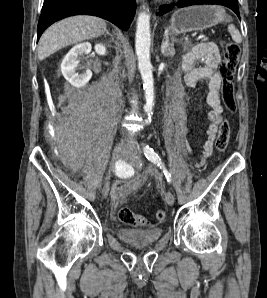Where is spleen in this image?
I'll return each instance as SVG.
<instances>
[{
	"mask_svg": "<svg viewBox=\"0 0 267 298\" xmlns=\"http://www.w3.org/2000/svg\"><path fill=\"white\" fill-rule=\"evenodd\" d=\"M228 31L233 39V41L235 43H241L242 42V37L238 31V29H236V27L233 24H230L228 26Z\"/></svg>",
	"mask_w": 267,
	"mask_h": 298,
	"instance_id": "3e777b00",
	"label": "spleen"
}]
</instances>
